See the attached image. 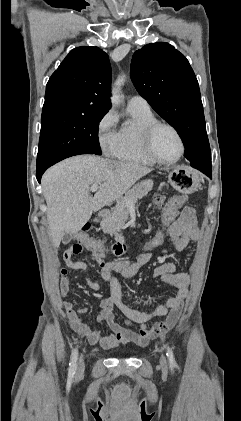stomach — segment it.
Returning a JSON list of instances; mask_svg holds the SVG:
<instances>
[{"label": "stomach", "mask_w": 241, "mask_h": 421, "mask_svg": "<svg viewBox=\"0 0 241 421\" xmlns=\"http://www.w3.org/2000/svg\"><path fill=\"white\" fill-rule=\"evenodd\" d=\"M168 180L176 190L184 194L196 191L200 183L198 173L187 166L172 168L168 174Z\"/></svg>", "instance_id": "0dacf381"}]
</instances>
